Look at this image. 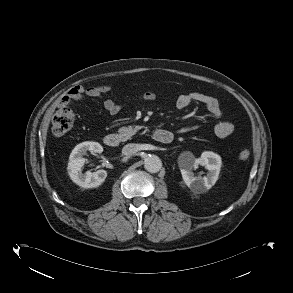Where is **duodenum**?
<instances>
[{
	"instance_id": "obj_1",
	"label": "duodenum",
	"mask_w": 293,
	"mask_h": 293,
	"mask_svg": "<svg viewBox=\"0 0 293 293\" xmlns=\"http://www.w3.org/2000/svg\"><path fill=\"white\" fill-rule=\"evenodd\" d=\"M153 139L159 143L167 144L172 141L173 135L167 130L158 129L154 131ZM104 143L108 147H118L122 143V136L118 133H109L105 135Z\"/></svg>"
}]
</instances>
